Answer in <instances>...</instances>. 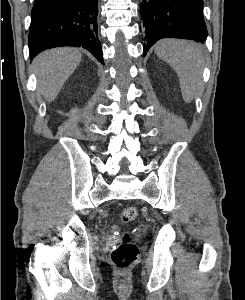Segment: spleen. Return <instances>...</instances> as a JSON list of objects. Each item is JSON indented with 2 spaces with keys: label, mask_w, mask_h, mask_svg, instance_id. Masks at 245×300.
I'll return each mask as SVG.
<instances>
[{
  "label": "spleen",
  "mask_w": 245,
  "mask_h": 300,
  "mask_svg": "<svg viewBox=\"0 0 245 300\" xmlns=\"http://www.w3.org/2000/svg\"><path fill=\"white\" fill-rule=\"evenodd\" d=\"M156 55L176 71L185 102L193 100L202 79L203 52L191 41L164 39L155 47Z\"/></svg>",
  "instance_id": "3e777b00"
}]
</instances>
